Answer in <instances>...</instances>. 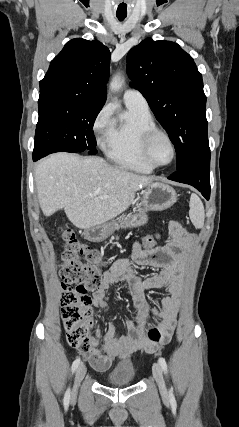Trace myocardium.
Wrapping results in <instances>:
<instances>
[{"label":"myocardium","instance_id":"f54148a6","mask_svg":"<svg viewBox=\"0 0 239 427\" xmlns=\"http://www.w3.org/2000/svg\"><path fill=\"white\" fill-rule=\"evenodd\" d=\"M158 136L164 137L168 141V143L170 144V147L172 150L171 158L165 164L155 163L150 156V149H151L152 143L154 142V140ZM176 153H177V151H176L175 142L172 139V137L170 136V134L167 133L166 131L156 127V128H153V129L146 131L143 134V137L141 140V155H142L143 159L145 160V162L148 165H150L152 168H163V167L170 165L175 160Z\"/></svg>","mask_w":239,"mask_h":427}]
</instances>
